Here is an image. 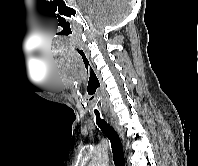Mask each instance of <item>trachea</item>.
Here are the masks:
<instances>
[{"label": "trachea", "mask_w": 198, "mask_h": 166, "mask_svg": "<svg viewBox=\"0 0 198 166\" xmlns=\"http://www.w3.org/2000/svg\"><path fill=\"white\" fill-rule=\"evenodd\" d=\"M95 115L97 125L110 140L115 166H126L124 151L119 135L105 120L100 118L99 113H95Z\"/></svg>", "instance_id": "3493384b"}]
</instances>
